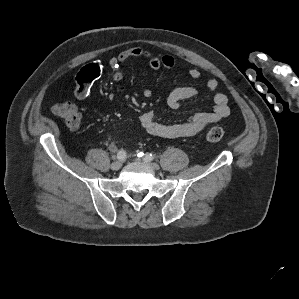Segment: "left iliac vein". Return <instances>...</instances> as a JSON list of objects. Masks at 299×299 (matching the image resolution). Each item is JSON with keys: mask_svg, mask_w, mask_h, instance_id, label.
<instances>
[{"mask_svg": "<svg viewBox=\"0 0 299 299\" xmlns=\"http://www.w3.org/2000/svg\"><path fill=\"white\" fill-rule=\"evenodd\" d=\"M144 162L147 163L148 165H150L155 170H158L160 168L159 164H157L155 162H150L146 159H144Z\"/></svg>", "mask_w": 299, "mask_h": 299, "instance_id": "1", "label": "left iliac vein"}]
</instances>
